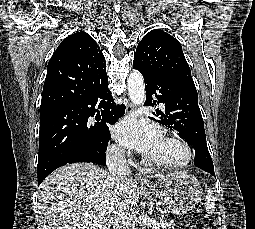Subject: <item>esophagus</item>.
Instances as JSON below:
<instances>
[{"instance_id": "1", "label": "esophagus", "mask_w": 255, "mask_h": 229, "mask_svg": "<svg viewBox=\"0 0 255 229\" xmlns=\"http://www.w3.org/2000/svg\"><path fill=\"white\" fill-rule=\"evenodd\" d=\"M133 111H134V105L132 103H129L126 107V114H130ZM135 178L142 185H147V186L151 185L150 180L141 173H136Z\"/></svg>"}]
</instances>
